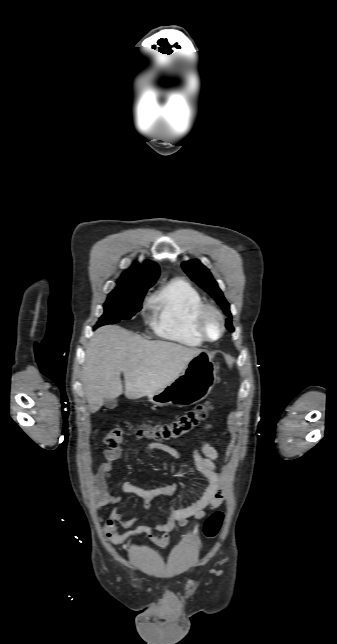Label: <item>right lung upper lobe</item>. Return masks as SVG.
I'll return each instance as SVG.
<instances>
[{
  "label": "right lung upper lobe",
  "instance_id": "right-lung-upper-lobe-1",
  "mask_svg": "<svg viewBox=\"0 0 337 644\" xmlns=\"http://www.w3.org/2000/svg\"><path fill=\"white\" fill-rule=\"evenodd\" d=\"M160 270L156 263L146 261L143 265L135 262L117 282L116 289L150 288L158 279Z\"/></svg>",
  "mask_w": 337,
  "mask_h": 644
}]
</instances>
